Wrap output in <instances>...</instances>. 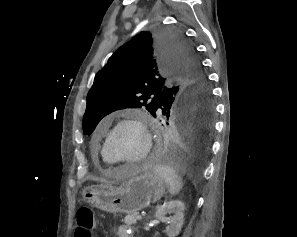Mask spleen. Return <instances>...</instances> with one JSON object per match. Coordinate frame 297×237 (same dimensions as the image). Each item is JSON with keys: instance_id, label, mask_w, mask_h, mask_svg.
I'll return each mask as SVG.
<instances>
[{"instance_id": "obj_1", "label": "spleen", "mask_w": 297, "mask_h": 237, "mask_svg": "<svg viewBox=\"0 0 297 237\" xmlns=\"http://www.w3.org/2000/svg\"><path fill=\"white\" fill-rule=\"evenodd\" d=\"M155 174L168 186L172 196L177 195L183 187L182 177L172 167L168 165H155Z\"/></svg>"}]
</instances>
